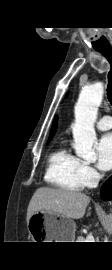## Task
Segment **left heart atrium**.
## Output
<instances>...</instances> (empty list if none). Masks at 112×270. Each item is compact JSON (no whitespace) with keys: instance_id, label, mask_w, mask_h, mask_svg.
<instances>
[{"instance_id":"left-heart-atrium-1","label":"left heart atrium","mask_w":112,"mask_h":270,"mask_svg":"<svg viewBox=\"0 0 112 270\" xmlns=\"http://www.w3.org/2000/svg\"><path fill=\"white\" fill-rule=\"evenodd\" d=\"M97 166L102 171L112 169V133H107L101 137L96 144Z\"/></svg>"}]
</instances>
